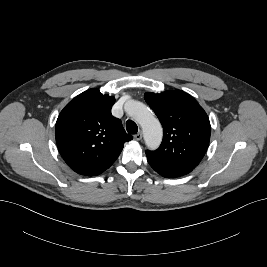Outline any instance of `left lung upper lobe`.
Instances as JSON below:
<instances>
[{"label":"left lung upper lobe","mask_w":267,"mask_h":267,"mask_svg":"<svg viewBox=\"0 0 267 267\" xmlns=\"http://www.w3.org/2000/svg\"><path fill=\"white\" fill-rule=\"evenodd\" d=\"M163 129V141L156 151H146L149 161L194 169L204 157L210 140V122L198 102L188 93L176 90L145 93Z\"/></svg>","instance_id":"5c2ea615"}]
</instances>
